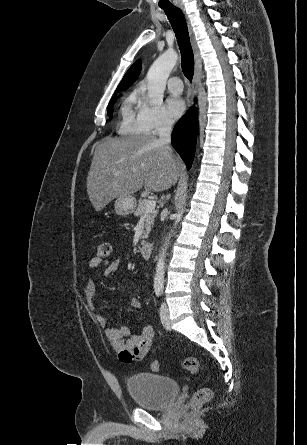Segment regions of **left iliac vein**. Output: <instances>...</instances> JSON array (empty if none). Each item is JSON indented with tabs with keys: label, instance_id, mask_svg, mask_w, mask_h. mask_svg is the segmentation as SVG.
I'll return each instance as SVG.
<instances>
[{
	"label": "left iliac vein",
	"instance_id": "obj_1",
	"mask_svg": "<svg viewBox=\"0 0 307 445\" xmlns=\"http://www.w3.org/2000/svg\"><path fill=\"white\" fill-rule=\"evenodd\" d=\"M160 319H161V323L163 324L164 328L167 330H170L171 323H170V319H169V309L165 302H163L160 307Z\"/></svg>",
	"mask_w": 307,
	"mask_h": 445
}]
</instances>
